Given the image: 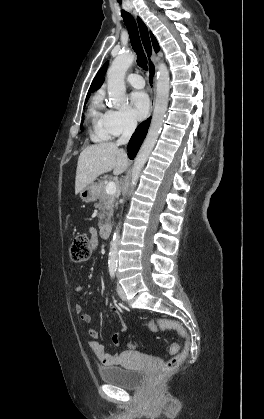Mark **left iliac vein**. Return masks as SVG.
I'll return each mask as SVG.
<instances>
[{"instance_id":"obj_1","label":"left iliac vein","mask_w":264,"mask_h":419,"mask_svg":"<svg viewBox=\"0 0 264 419\" xmlns=\"http://www.w3.org/2000/svg\"><path fill=\"white\" fill-rule=\"evenodd\" d=\"M117 292H118L119 297L122 300H125L126 299L125 292H124V290H123V288H122V286L120 284H117Z\"/></svg>"}]
</instances>
